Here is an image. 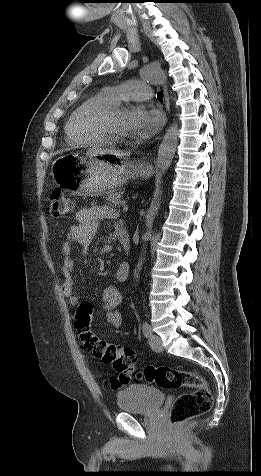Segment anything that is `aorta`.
Masks as SVG:
<instances>
[{
    "label": "aorta",
    "instance_id": "762f6f07",
    "mask_svg": "<svg viewBox=\"0 0 261 476\" xmlns=\"http://www.w3.org/2000/svg\"><path fill=\"white\" fill-rule=\"evenodd\" d=\"M142 78L151 83L156 85H163L166 82V75L165 73L159 68L154 65H148L144 67L141 71ZM178 135L179 129L178 124L173 122L163 137L161 144L159 145L158 155H157V166L158 168L164 173L172 163L174 158L176 148L178 145ZM147 226H150V222L148 221ZM151 234L149 231L145 233V239H149ZM144 258L141 254V257L138 260L136 269L134 270V277L138 278L139 272L141 270V266L143 264Z\"/></svg>",
    "mask_w": 261,
    "mask_h": 476
}]
</instances>
